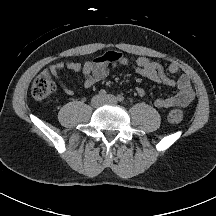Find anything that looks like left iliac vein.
<instances>
[{
  "mask_svg": "<svg viewBox=\"0 0 216 216\" xmlns=\"http://www.w3.org/2000/svg\"><path fill=\"white\" fill-rule=\"evenodd\" d=\"M103 101L107 104H116L117 98L114 95H107L103 98Z\"/></svg>",
  "mask_w": 216,
  "mask_h": 216,
  "instance_id": "1",
  "label": "left iliac vein"
}]
</instances>
